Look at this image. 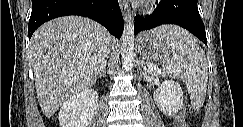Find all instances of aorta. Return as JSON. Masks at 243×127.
Returning a JSON list of instances; mask_svg holds the SVG:
<instances>
[{"mask_svg":"<svg viewBox=\"0 0 243 127\" xmlns=\"http://www.w3.org/2000/svg\"><path fill=\"white\" fill-rule=\"evenodd\" d=\"M122 64L126 72H129L133 68L134 62V21L129 19L124 26L122 33Z\"/></svg>","mask_w":243,"mask_h":127,"instance_id":"obj_1","label":"aorta"}]
</instances>
